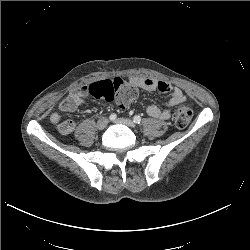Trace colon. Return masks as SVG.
Instances as JSON below:
<instances>
[{"label": "colon", "mask_w": 250, "mask_h": 250, "mask_svg": "<svg viewBox=\"0 0 250 250\" xmlns=\"http://www.w3.org/2000/svg\"><path fill=\"white\" fill-rule=\"evenodd\" d=\"M88 93L95 99L116 100L121 108L127 107L136 97L132 88H120L118 82L109 79L92 83L88 87ZM192 117L193 110L188 105L179 106L173 118L175 126L179 129L185 128Z\"/></svg>", "instance_id": "1"}]
</instances>
